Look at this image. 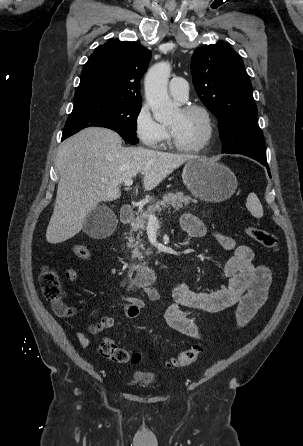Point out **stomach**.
Segmentation results:
<instances>
[{"instance_id": "0dacf381", "label": "stomach", "mask_w": 303, "mask_h": 446, "mask_svg": "<svg viewBox=\"0 0 303 446\" xmlns=\"http://www.w3.org/2000/svg\"><path fill=\"white\" fill-rule=\"evenodd\" d=\"M182 179L193 196L209 202H222L230 198L238 184L235 174L228 167L200 157L186 162Z\"/></svg>"}]
</instances>
